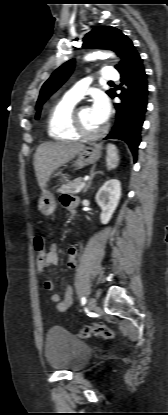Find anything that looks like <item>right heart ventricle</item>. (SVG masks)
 Masks as SVG:
<instances>
[{
	"label": "right heart ventricle",
	"mask_w": 168,
	"mask_h": 415,
	"mask_svg": "<svg viewBox=\"0 0 168 415\" xmlns=\"http://www.w3.org/2000/svg\"><path fill=\"white\" fill-rule=\"evenodd\" d=\"M78 100L68 96L61 98L51 109L48 118V134L55 140H78L72 123V113Z\"/></svg>",
	"instance_id": "obj_1"
}]
</instances>
